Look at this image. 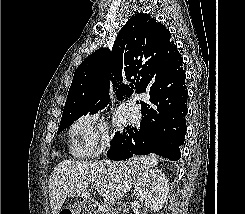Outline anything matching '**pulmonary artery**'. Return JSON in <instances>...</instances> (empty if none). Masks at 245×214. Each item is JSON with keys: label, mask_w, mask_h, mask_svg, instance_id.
Wrapping results in <instances>:
<instances>
[{"label": "pulmonary artery", "mask_w": 245, "mask_h": 214, "mask_svg": "<svg viewBox=\"0 0 245 214\" xmlns=\"http://www.w3.org/2000/svg\"><path fill=\"white\" fill-rule=\"evenodd\" d=\"M126 107L131 116L137 115V108L133 102L128 103Z\"/></svg>", "instance_id": "pulmonary-artery-1"}]
</instances>
